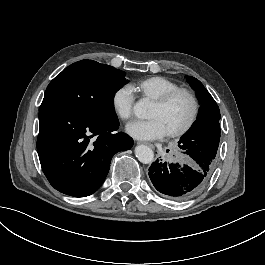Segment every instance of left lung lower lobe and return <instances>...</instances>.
Instances as JSON below:
<instances>
[{
    "label": "left lung lower lobe",
    "mask_w": 265,
    "mask_h": 265,
    "mask_svg": "<svg viewBox=\"0 0 265 265\" xmlns=\"http://www.w3.org/2000/svg\"><path fill=\"white\" fill-rule=\"evenodd\" d=\"M212 169L211 164L195 160L183 166L156 160L149 168V177L160 193L171 200L185 201L202 190Z\"/></svg>",
    "instance_id": "0a47b994"
}]
</instances>
